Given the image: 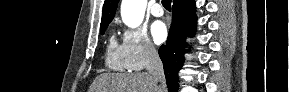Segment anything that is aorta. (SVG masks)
Instances as JSON below:
<instances>
[{"instance_id":"aorta-1","label":"aorta","mask_w":289,"mask_h":92,"mask_svg":"<svg viewBox=\"0 0 289 92\" xmlns=\"http://www.w3.org/2000/svg\"><path fill=\"white\" fill-rule=\"evenodd\" d=\"M147 0H122L121 17L123 22L131 28L138 27L145 15Z\"/></svg>"}]
</instances>
